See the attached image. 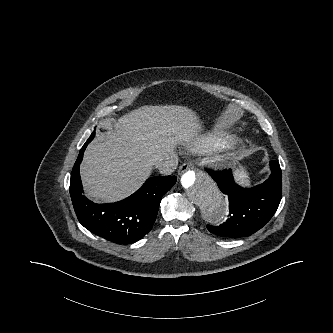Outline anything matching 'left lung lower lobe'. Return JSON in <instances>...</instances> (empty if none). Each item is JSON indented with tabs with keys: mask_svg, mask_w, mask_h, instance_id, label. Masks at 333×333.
<instances>
[{
	"mask_svg": "<svg viewBox=\"0 0 333 333\" xmlns=\"http://www.w3.org/2000/svg\"><path fill=\"white\" fill-rule=\"evenodd\" d=\"M270 168V177L253 188L237 185L231 170L208 171L220 190L228 195L230 209L224 224L207 225L210 232L224 237H243L255 233L272 218L282 197V175L277 161H271Z\"/></svg>",
	"mask_w": 333,
	"mask_h": 333,
	"instance_id": "0a47b994",
	"label": "left lung lower lobe"
}]
</instances>
